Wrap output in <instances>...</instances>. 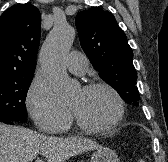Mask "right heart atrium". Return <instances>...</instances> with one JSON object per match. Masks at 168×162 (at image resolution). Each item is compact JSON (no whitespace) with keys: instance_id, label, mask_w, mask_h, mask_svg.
I'll use <instances>...</instances> for the list:
<instances>
[{"instance_id":"right-heart-atrium-1","label":"right heart atrium","mask_w":168,"mask_h":162,"mask_svg":"<svg viewBox=\"0 0 168 162\" xmlns=\"http://www.w3.org/2000/svg\"><path fill=\"white\" fill-rule=\"evenodd\" d=\"M27 110L36 127L45 133H58L70 123V112L61 104L48 83L35 79L27 93Z\"/></svg>"}]
</instances>
